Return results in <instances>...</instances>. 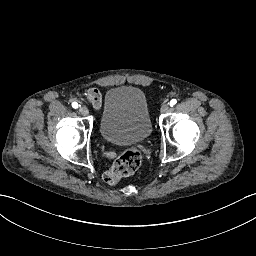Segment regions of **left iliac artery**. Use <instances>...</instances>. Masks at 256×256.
<instances>
[{"label": "left iliac artery", "mask_w": 256, "mask_h": 256, "mask_svg": "<svg viewBox=\"0 0 256 256\" xmlns=\"http://www.w3.org/2000/svg\"><path fill=\"white\" fill-rule=\"evenodd\" d=\"M176 103H177V100H176V99H172V100L170 101L169 105H170L171 107H173Z\"/></svg>", "instance_id": "obj_1"}]
</instances>
